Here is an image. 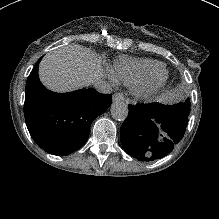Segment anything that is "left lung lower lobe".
I'll return each mask as SVG.
<instances>
[{
    "mask_svg": "<svg viewBox=\"0 0 219 219\" xmlns=\"http://www.w3.org/2000/svg\"><path fill=\"white\" fill-rule=\"evenodd\" d=\"M129 114L121 126L124 150L141 161H152L170 153L182 139L189 113L158 103L128 105Z\"/></svg>",
    "mask_w": 219,
    "mask_h": 219,
    "instance_id": "1",
    "label": "left lung lower lobe"
}]
</instances>
